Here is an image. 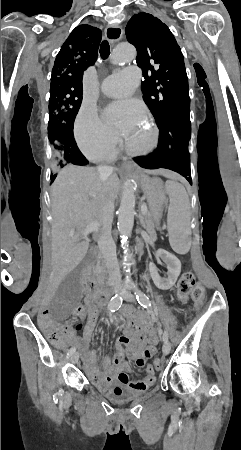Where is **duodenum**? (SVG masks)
Masks as SVG:
<instances>
[{
  "instance_id": "duodenum-1",
  "label": "duodenum",
  "mask_w": 241,
  "mask_h": 450,
  "mask_svg": "<svg viewBox=\"0 0 241 450\" xmlns=\"http://www.w3.org/2000/svg\"><path fill=\"white\" fill-rule=\"evenodd\" d=\"M99 265L100 262L98 261L96 263V266L98 267ZM83 280L86 286L93 290L96 299H98L99 301H103L108 297L109 289L107 287H104L101 283H99L96 276L90 270H86L83 273Z\"/></svg>"
}]
</instances>
